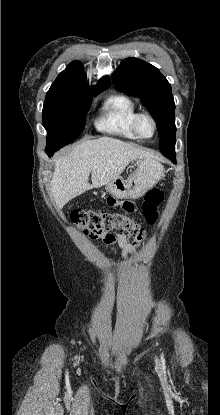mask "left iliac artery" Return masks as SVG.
Masks as SVG:
<instances>
[{
    "mask_svg": "<svg viewBox=\"0 0 220 415\" xmlns=\"http://www.w3.org/2000/svg\"><path fill=\"white\" fill-rule=\"evenodd\" d=\"M161 361H162V363L165 362V359H164V355L163 354H161Z\"/></svg>",
    "mask_w": 220,
    "mask_h": 415,
    "instance_id": "1",
    "label": "left iliac artery"
}]
</instances>
